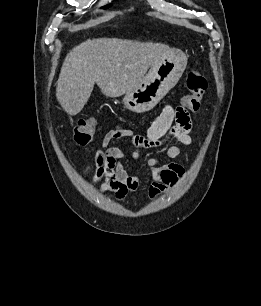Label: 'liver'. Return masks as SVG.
<instances>
[{
    "label": "liver",
    "mask_w": 261,
    "mask_h": 306,
    "mask_svg": "<svg viewBox=\"0 0 261 306\" xmlns=\"http://www.w3.org/2000/svg\"><path fill=\"white\" fill-rule=\"evenodd\" d=\"M170 51L162 43L88 39L67 54L57 81V100L74 116L87 103L95 83L105 96L119 97L132 91L153 63Z\"/></svg>",
    "instance_id": "1"
}]
</instances>
